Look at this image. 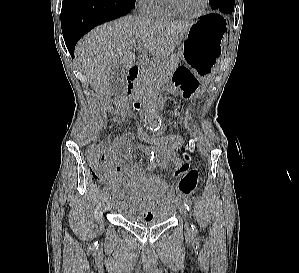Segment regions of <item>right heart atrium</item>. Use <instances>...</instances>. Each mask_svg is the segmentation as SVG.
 <instances>
[{"label": "right heart atrium", "mask_w": 299, "mask_h": 273, "mask_svg": "<svg viewBox=\"0 0 299 273\" xmlns=\"http://www.w3.org/2000/svg\"><path fill=\"white\" fill-rule=\"evenodd\" d=\"M153 0H135L136 7L141 13H144L147 11L149 6L151 5Z\"/></svg>", "instance_id": "right-heart-atrium-1"}]
</instances>
